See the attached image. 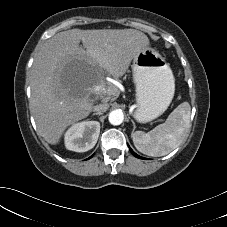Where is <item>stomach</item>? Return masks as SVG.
<instances>
[{"instance_id": "1", "label": "stomach", "mask_w": 227, "mask_h": 227, "mask_svg": "<svg viewBox=\"0 0 227 227\" xmlns=\"http://www.w3.org/2000/svg\"><path fill=\"white\" fill-rule=\"evenodd\" d=\"M137 108L133 113L136 121L150 122L170 105L175 92V79L171 68L158 52L144 48L132 63Z\"/></svg>"}]
</instances>
